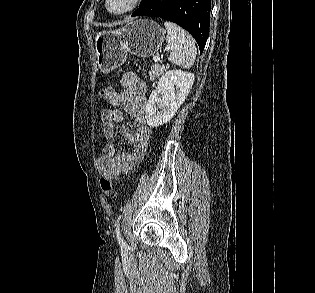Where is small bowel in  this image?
<instances>
[{
    "mask_svg": "<svg viewBox=\"0 0 315 293\" xmlns=\"http://www.w3.org/2000/svg\"><path fill=\"white\" fill-rule=\"evenodd\" d=\"M120 83L123 91H113L107 99L112 108L103 109L101 112L103 134L106 139H113L115 124L121 123L125 113L128 114L134 118V128L123 126L120 128V134L132 146V150H117L112 142L104 144L102 154L97 159V167L102 177L110 180L120 178L141 161L152 134L145 118V82L134 72H126Z\"/></svg>",
    "mask_w": 315,
    "mask_h": 293,
    "instance_id": "obj_1",
    "label": "small bowel"
}]
</instances>
